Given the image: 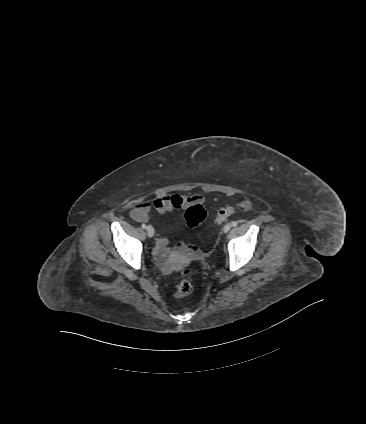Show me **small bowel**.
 I'll return each mask as SVG.
<instances>
[{"label":"small bowel","instance_id":"obj_1","mask_svg":"<svg viewBox=\"0 0 366 424\" xmlns=\"http://www.w3.org/2000/svg\"><path fill=\"white\" fill-rule=\"evenodd\" d=\"M202 199L200 194H160L154 197L152 205L158 213L163 214L173 209H187L192 205L201 203ZM130 215L137 222H148L153 219L151 206L146 200L139 202ZM168 242V238L163 233H157L155 255L158 263L165 269L168 268ZM183 249V243H178L174 251L180 253Z\"/></svg>","mask_w":366,"mask_h":424}]
</instances>
